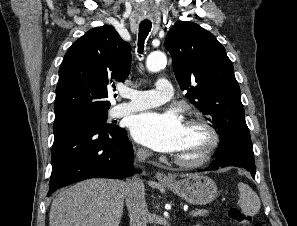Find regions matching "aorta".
<instances>
[{"label":"aorta","mask_w":297,"mask_h":226,"mask_svg":"<svg viewBox=\"0 0 297 226\" xmlns=\"http://www.w3.org/2000/svg\"><path fill=\"white\" fill-rule=\"evenodd\" d=\"M167 62L166 55L163 52H153L146 60V67L150 72H157L162 69Z\"/></svg>","instance_id":"1"}]
</instances>
